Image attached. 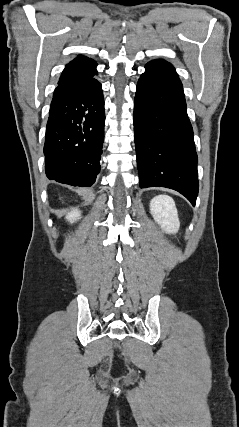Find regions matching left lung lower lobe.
<instances>
[{
  "label": "left lung lower lobe",
  "mask_w": 239,
  "mask_h": 427,
  "mask_svg": "<svg viewBox=\"0 0 239 427\" xmlns=\"http://www.w3.org/2000/svg\"><path fill=\"white\" fill-rule=\"evenodd\" d=\"M134 102V138L140 188L162 186L194 206L198 195L197 154L182 83L173 66L151 61Z\"/></svg>",
  "instance_id": "1"
}]
</instances>
